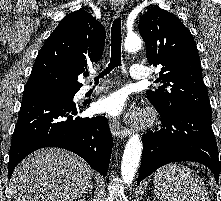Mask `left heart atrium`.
Returning <instances> with one entry per match:
<instances>
[{"instance_id":"39dd6f15","label":"left heart atrium","mask_w":221,"mask_h":201,"mask_svg":"<svg viewBox=\"0 0 221 201\" xmlns=\"http://www.w3.org/2000/svg\"><path fill=\"white\" fill-rule=\"evenodd\" d=\"M98 109L110 116H119L127 109V95L124 91H115L99 100Z\"/></svg>"}]
</instances>
